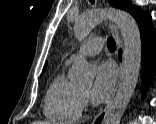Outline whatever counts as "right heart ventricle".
I'll return each mask as SVG.
<instances>
[{"instance_id":"1","label":"right heart ventricle","mask_w":156,"mask_h":124,"mask_svg":"<svg viewBox=\"0 0 156 124\" xmlns=\"http://www.w3.org/2000/svg\"><path fill=\"white\" fill-rule=\"evenodd\" d=\"M82 91L62 73L51 81L44 98V114L59 123H73L82 114Z\"/></svg>"}]
</instances>
